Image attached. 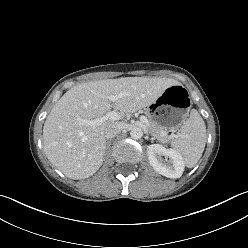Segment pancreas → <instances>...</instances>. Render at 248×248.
Masks as SVG:
<instances>
[{
  "label": "pancreas",
  "instance_id": "pancreas-1",
  "mask_svg": "<svg viewBox=\"0 0 248 248\" xmlns=\"http://www.w3.org/2000/svg\"><path fill=\"white\" fill-rule=\"evenodd\" d=\"M148 122L149 123L147 124V129L153 137H155L161 141L169 140L170 136L168 135L167 129L159 126L158 124H156L155 122H153L151 120H149Z\"/></svg>",
  "mask_w": 248,
  "mask_h": 248
}]
</instances>
